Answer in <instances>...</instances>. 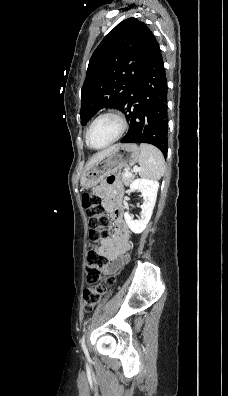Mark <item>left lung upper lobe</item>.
I'll use <instances>...</instances> for the list:
<instances>
[{
	"label": "left lung upper lobe",
	"mask_w": 228,
	"mask_h": 396,
	"mask_svg": "<svg viewBox=\"0 0 228 396\" xmlns=\"http://www.w3.org/2000/svg\"><path fill=\"white\" fill-rule=\"evenodd\" d=\"M156 42L145 23L128 18L92 54L82 87L81 124L101 108L121 109Z\"/></svg>",
	"instance_id": "obj_1"
}]
</instances>
